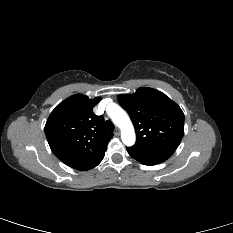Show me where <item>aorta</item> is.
<instances>
[{"instance_id": "762f6f07", "label": "aorta", "mask_w": 233, "mask_h": 233, "mask_svg": "<svg viewBox=\"0 0 233 233\" xmlns=\"http://www.w3.org/2000/svg\"><path fill=\"white\" fill-rule=\"evenodd\" d=\"M108 115L113 123L121 129V140L126 146H133L136 135L128 114L117 104H111Z\"/></svg>"}]
</instances>
